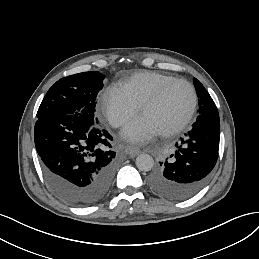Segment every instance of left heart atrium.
Instances as JSON below:
<instances>
[{
  "label": "left heart atrium",
  "mask_w": 259,
  "mask_h": 259,
  "mask_svg": "<svg viewBox=\"0 0 259 259\" xmlns=\"http://www.w3.org/2000/svg\"><path fill=\"white\" fill-rule=\"evenodd\" d=\"M157 134L153 130H148L140 119H136L127 124L122 131V135L131 141L142 143L152 135Z\"/></svg>",
  "instance_id": "left-heart-atrium-1"
}]
</instances>
